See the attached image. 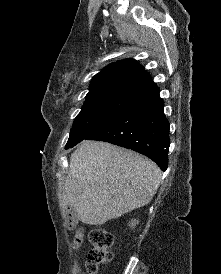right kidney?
Masks as SVG:
<instances>
[{
  "label": "right kidney",
  "mask_w": 221,
  "mask_h": 274,
  "mask_svg": "<svg viewBox=\"0 0 221 274\" xmlns=\"http://www.w3.org/2000/svg\"><path fill=\"white\" fill-rule=\"evenodd\" d=\"M135 225H136V221L134 220V221H132L131 226L134 227Z\"/></svg>",
  "instance_id": "ca27d5eb"
}]
</instances>
